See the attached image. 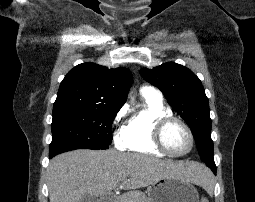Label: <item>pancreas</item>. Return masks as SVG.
I'll return each mask as SVG.
<instances>
[{
    "mask_svg": "<svg viewBox=\"0 0 255 202\" xmlns=\"http://www.w3.org/2000/svg\"><path fill=\"white\" fill-rule=\"evenodd\" d=\"M117 202H150V201L143 192L134 190L119 196Z\"/></svg>",
    "mask_w": 255,
    "mask_h": 202,
    "instance_id": "1",
    "label": "pancreas"
}]
</instances>
